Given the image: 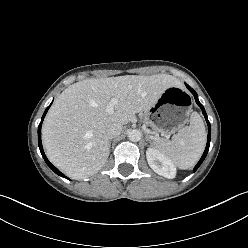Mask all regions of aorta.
I'll use <instances>...</instances> for the list:
<instances>
[{"label":"aorta","mask_w":248,"mask_h":248,"mask_svg":"<svg viewBox=\"0 0 248 248\" xmlns=\"http://www.w3.org/2000/svg\"><path fill=\"white\" fill-rule=\"evenodd\" d=\"M141 137H142V133L137 129L131 130L128 133V138L132 142L140 141Z\"/></svg>","instance_id":"1"}]
</instances>
